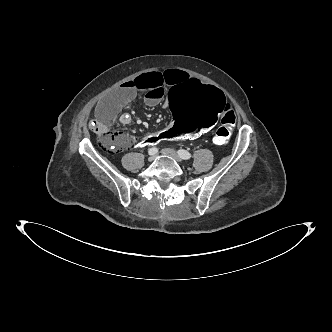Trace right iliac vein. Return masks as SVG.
<instances>
[{"label": "right iliac vein", "instance_id": "right-iliac-vein-1", "mask_svg": "<svg viewBox=\"0 0 332 332\" xmlns=\"http://www.w3.org/2000/svg\"><path fill=\"white\" fill-rule=\"evenodd\" d=\"M156 159V155H150V157L148 158V160L150 162L154 161Z\"/></svg>", "mask_w": 332, "mask_h": 332}]
</instances>
